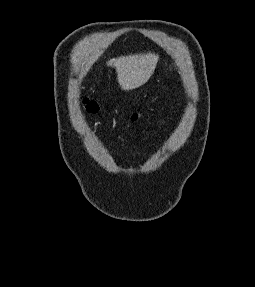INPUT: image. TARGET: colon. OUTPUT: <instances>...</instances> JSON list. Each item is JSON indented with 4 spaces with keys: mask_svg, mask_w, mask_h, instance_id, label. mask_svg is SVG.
Masks as SVG:
<instances>
[{
    "mask_svg": "<svg viewBox=\"0 0 255 287\" xmlns=\"http://www.w3.org/2000/svg\"><path fill=\"white\" fill-rule=\"evenodd\" d=\"M84 106L87 112L89 113H96L98 111V105L95 101L93 100H89V99H85L84 100ZM137 117L136 114H134L131 119L135 120Z\"/></svg>",
    "mask_w": 255,
    "mask_h": 287,
    "instance_id": "colon-1",
    "label": "colon"
}]
</instances>
